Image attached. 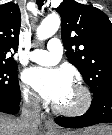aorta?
Instances as JSON below:
<instances>
[{"mask_svg": "<svg viewBox=\"0 0 112 135\" xmlns=\"http://www.w3.org/2000/svg\"><path fill=\"white\" fill-rule=\"evenodd\" d=\"M61 20L57 14L48 15L37 28V38L45 40L53 36L59 29Z\"/></svg>", "mask_w": 112, "mask_h": 135, "instance_id": "1", "label": "aorta"}]
</instances>
